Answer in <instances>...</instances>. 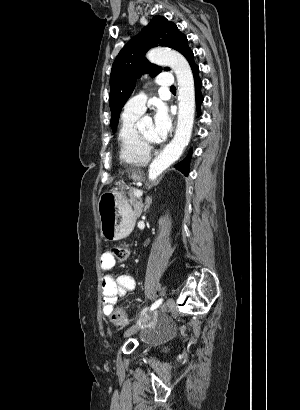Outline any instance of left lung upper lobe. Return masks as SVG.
<instances>
[{
	"instance_id": "5c2ea615",
	"label": "left lung upper lobe",
	"mask_w": 300,
	"mask_h": 410,
	"mask_svg": "<svg viewBox=\"0 0 300 410\" xmlns=\"http://www.w3.org/2000/svg\"><path fill=\"white\" fill-rule=\"evenodd\" d=\"M156 46L173 48L186 59L193 53L188 46L187 37L173 22L162 16L153 17L148 26L125 45L113 63L109 97L113 133L117 128L121 109L135 88L136 80L145 72L155 77L162 70L145 58V53ZM164 70L168 71L169 68Z\"/></svg>"
}]
</instances>
